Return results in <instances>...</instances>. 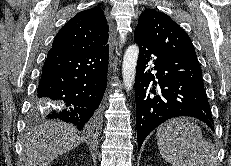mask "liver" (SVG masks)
Here are the masks:
<instances>
[{
  "label": "liver",
  "mask_w": 231,
  "mask_h": 166,
  "mask_svg": "<svg viewBox=\"0 0 231 166\" xmlns=\"http://www.w3.org/2000/svg\"><path fill=\"white\" fill-rule=\"evenodd\" d=\"M84 139L77 129L58 120H50L30 129L24 139L26 166H48L60 155L77 147Z\"/></svg>",
  "instance_id": "1"
}]
</instances>
